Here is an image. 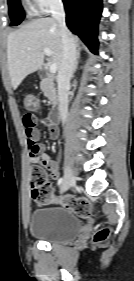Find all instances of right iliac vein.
<instances>
[{"mask_svg":"<svg viewBox=\"0 0 134 281\" xmlns=\"http://www.w3.org/2000/svg\"><path fill=\"white\" fill-rule=\"evenodd\" d=\"M74 184H75V177H74L73 170L71 166L67 164L65 168V178L61 186V193L68 190Z\"/></svg>","mask_w":134,"mask_h":281,"instance_id":"right-iliac-vein-1","label":"right iliac vein"}]
</instances>
